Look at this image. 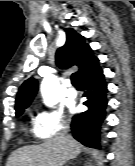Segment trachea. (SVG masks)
<instances>
[{
  "label": "trachea",
  "instance_id": "3493384b",
  "mask_svg": "<svg viewBox=\"0 0 135 166\" xmlns=\"http://www.w3.org/2000/svg\"><path fill=\"white\" fill-rule=\"evenodd\" d=\"M71 82L74 86L80 85L79 79L75 73L71 75Z\"/></svg>",
  "mask_w": 135,
  "mask_h": 166
}]
</instances>
